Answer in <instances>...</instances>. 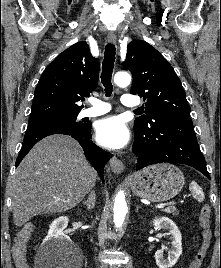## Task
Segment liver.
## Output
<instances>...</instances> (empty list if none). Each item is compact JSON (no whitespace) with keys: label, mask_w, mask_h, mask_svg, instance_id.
<instances>
[{"label":"liver","mask_w":221,"mask_h":268,"mask_svg":"<svg viewBox=\"0 0 221 268\" xmlns=\"http://www.w3.org/2000/svg\"><path fill=\"white\" fill-rule=\"evenodd\" d=\"M96 179V171L73 138H44L30 150L14 175V224L20 227L33 216L72 209L93 188Z\"/></svg>","instance_id":"liver-1"}]
</instances>
